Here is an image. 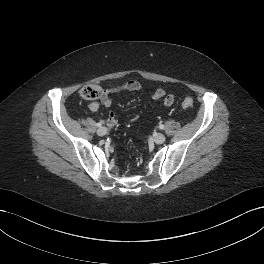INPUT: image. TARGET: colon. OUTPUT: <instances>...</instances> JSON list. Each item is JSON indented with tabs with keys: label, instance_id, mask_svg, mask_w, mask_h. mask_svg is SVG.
Segmentation results:
<instances>
[{
	"label": "colon",
	"instance_id": "5ec220e1",
	"mask_svg": "<svg viewBox=\"0 0 264 264\" xmlns=\"http://www.w3.org/2000/svg\"><path fill=\"white\" fill-rule=\"evenodd\" d=\"M103 95H104L103 89L101 88V86L97 84L87 85L80 90L81 98L86 101H94L100 99L103 97ZM193 104H194L193 100L189 97L185 98L182 101V107L186 109L193 107Z\"/></svg>",
	"mask_w": 264,
	"mask_h": 264
}]
</instances>
